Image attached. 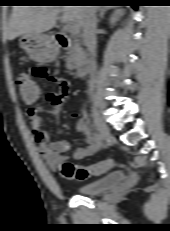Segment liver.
<instances>
[{
  "label": "liver",
  "mask_w": 170,
  "mask_h": 231,
  "mask_svg": "<svg viewBox=\"0 0 170 231\" xmlns=\"http://www.w3.org/2000/svg\"><path fill=\"white\" fill-rule=\"evenodd\" d=\"M83 6H14L6 38L13 40L25 33H43L51 30L62 13L64 22L82 26Z\"/></svg>",
  "instance_id": "1"
}]
</instances>
